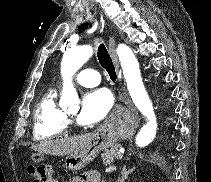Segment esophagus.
Segmentation results:
<instances>
[{"mask_svg": "<svg viewBox=\"0 0 211 182\" xmlns=\"http://www.w3.org/2000/svg\"><path fill=\"white\" fill-rule=\"evenodd\" d=\"M115 45H116L115 35L113 33H111L110 36H109V52H110V55L112 57V60H113L114 66H115L118 79L120 80L121 79V71H120L118 57L116 55ZM118 99L125 102V103L129 102V99L124 92L119 93ZM114 111H115V109H114ZM112 115H113V113L108 117L105 124L101 127L100 130L105 129L109 125Z\"/></svg>", "mask_w": 211, "mask_h": 182, "instance_id": "esophagus-1", "label": "esophagus"}]
</instances>
